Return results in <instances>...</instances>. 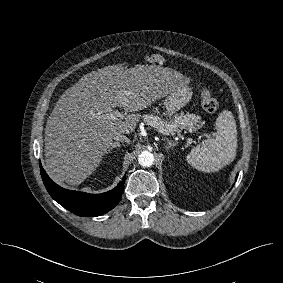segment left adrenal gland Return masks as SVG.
<instances>
[{
	"mask_svg": "<svg viewBox=\"0 0 283 283\" xmlns=\"http://www.w3.org/2000/svg\"><path fill=\"white\" fill-rule=\"evenodd\" d=\"M162 140L167 142V144H166V149H167V150L170 149V148H172V147H174V146L176 145V144H175L174 142H172L169 138L164 137V138H162Z\"/></svg>",
	"mask_w": 283,
	"mask_h": 283,
	"instance_id": "left-adrenal-gland-1",
	"label": "left adrenal gland"
}]
</instances>
